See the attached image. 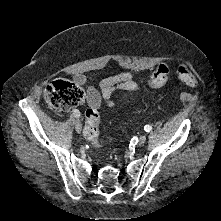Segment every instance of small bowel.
Here are the masks:
<instances>
[{"label":"small bowel","instance_id":"obj_1","mask_svg":"<svg viewBox=\"0 0 221 221\" xmlns=\"http://www.w3.org/2000/svg\"><path fill=\"white\" fill-rule=\"evenodd\" d=\"M74 81L78 85L85 87L87 103L90 107L96 109L101 106L102 100L108 107H114L115 102L112 97L116 91H123L124 97L130 98L141 90V86L134 80L132 72H122L101 80L99 89L88 85L86 76L82 74H76Z\"/></svg>","mask_w":221,"mask_h":221}]
</instances>
